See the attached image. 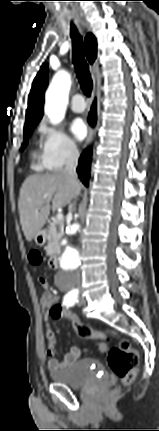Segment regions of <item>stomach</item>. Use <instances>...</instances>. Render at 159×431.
I'll return each mask as SVG.
<instances>
[{
  "label": "stomach",
  "instance_id": "stomach-1",
  "mask_svg": "<svg viewBox=\"0 0 159 431\" xmlns=\"http://www.w3.org/2000/svg\"><path fill=\"white\" fill-rule=\"evenodd\" d=\"M34 241L37 245L41 246L45 242V236L42 233H39L34 237Z\"/></svg>",
  "mask_w": 159,
  "mask_h": 431
}]
</instances>
